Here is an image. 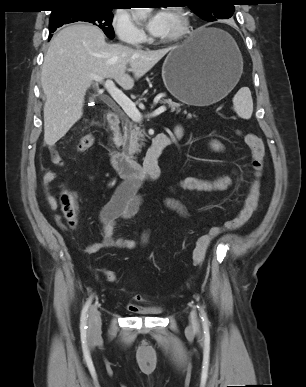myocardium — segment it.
Here are the masks:
<instances>
[{
	"instance_id": "f54148a6",
	"label": "myocardium",
	"mask_w": 306,
	"mask_h": 387,
	"mask_svg": "<svg viewBox=\"0 0 306 387\" xmlns=\"http://www.w3.org/2000/svg\"><path fill=\"white\" fill-rule=\"evenodd\" d=\"M169 12L177 16L179 20L178 29L170 36L163 38L164 43L177 42L183 39L189 32L190 18L186 10L182 7H172Z\"/></svg>"
}]
</instances>
